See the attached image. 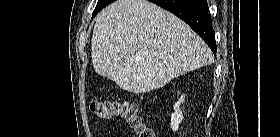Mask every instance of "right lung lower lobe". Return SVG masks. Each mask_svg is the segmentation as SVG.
I'll return each mask as SVG.
<instances>
[{
	"mask_svg": "<svg viewBox=\"0 0 280 137\" xmlns=\"http://www.w3.org/2000/svg\"><path fill=\"white\" fill-rule=\"evenodd\" d=\"M185 21L216 54L215 31L206 0H149Z\"/></svg>",
	"mask_w": 280,
	"mask_h": 137,
	"instance_id": "obj_1",
	"label": "right lung lower lobe"
}]
</instances>
